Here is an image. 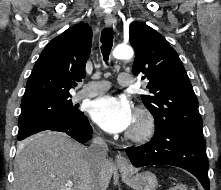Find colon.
I'll use <instances>...</instances> for the list:
<instances>
[{"label":"colon","instance_id":"colon-1","mask_svg":"<svg viewBox=\"0 0 221 190\" xmlns=\"http://www.w3.org/2000/svg\"><path fill=\"white\" fill-rule=\"evenodd\" d=\"M172 190H185L183 186H177L173 188Z\"/></svg>","mask_w":221,"mask_h":190}]
</instances>
